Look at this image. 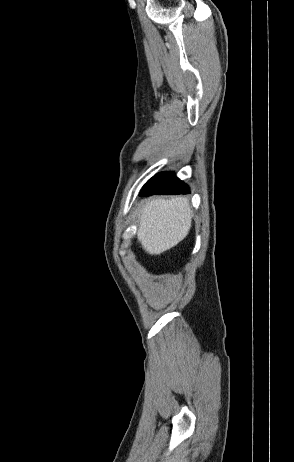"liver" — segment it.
Wrapping results in <instances>:
<instances>
[{
	"instance_id": "liver-1",
	"label": "liver",
	"mask_w": 294,
	"mask_h": 462,
	"mask_svg": "<svg viewBox=\"0 0 294 462\" xmlns=\"http://www.w3.org/2000/svg\"><path fill=\"white\" fill-rule=\"evenodd\" d=\"M191 224L192 211L186 198L154 199L140 211L137 239L147 253L158 255L181 242Z\"/></svg>"
}]
</instances>
